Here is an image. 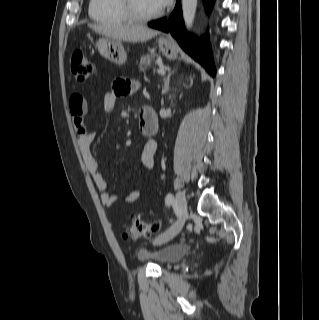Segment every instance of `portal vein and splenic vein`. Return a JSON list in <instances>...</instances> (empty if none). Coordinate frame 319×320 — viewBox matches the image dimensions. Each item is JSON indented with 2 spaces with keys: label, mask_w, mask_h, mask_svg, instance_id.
Instances as JSON below:
<instances>
[{
  "label": "portal vein and splenic vein",
  "mask_w": 319,
  "mask_h": 320,
  "mask_svg": "<svg viewBox=\"0 0 319 320\" xmlns=\"http://www.w3.org/2000/svg\"><path fill=\"white\" fill-rule=\"evenodd\" d=\"M157 73L161 74V75H164L165 74V68L160 67L159 69H157Z\"/></svg>",
  "instance_id": "portal-vein-and-splenic-vein-1"
}]
</instances>
